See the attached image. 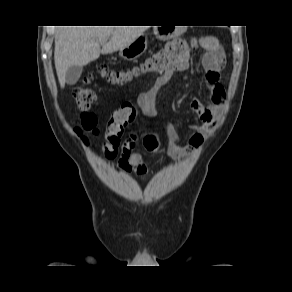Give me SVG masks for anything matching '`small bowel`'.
Segmentation results:
<instances>
[{
  "label": "small bowel",
  "mask_w": 292,
  "mask_h": 292,
  "mask_svg": "<svg viewBox=\"0 0 292 292\" xmlns=\"http://www.w3.org/2000/svg\"><path fill=\"white\" fill-rule=\"evenodd\" d=\"M199 45L206 50L202 64L206 72L205 83L211 97V103L203 105L199 99H192L191 108L197 113L200 123L189 127L186 134L187 141L184 145L180 143V134L170 124L166 125V151L169 155H191L213 130L225 103V88L220 81V72L225 64V55L221 44L214 37H205L199 41ZM187 67L186 61L172 67L157 79L154 88L159 89L168 83L175 73L182 72ZM137 144L138 136L136 133H130L121 144L118 167L122 172H132L142 178H148L150 175L138 151Z\"/></svg>",
  "instance_id": "obj_1"
}]
</instances>
